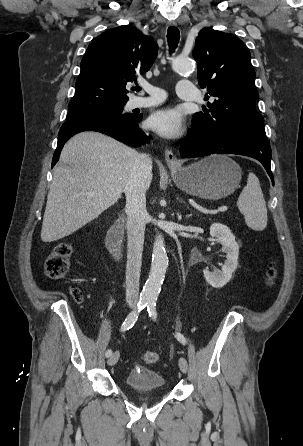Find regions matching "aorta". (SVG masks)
<instances>
[{"mask_svg":"<svg viewBox=\"0 0 303 446\" xmlns=\"http://www.w3.org/2000/svg\"><path fill=\"white\" fill-rule=\"evenodd\" d=\"M177 73L194 71L195 65L188 59L176 58L172 64ZM168 267V257L165 249L164 237L158 234L153 244L152 263L148 279L146 280L141 296L145 301H156Z\"/></svg>","mask_w":303,"mask_h":446,"instance_id":"1","label":"aorta"}]
</instances>
